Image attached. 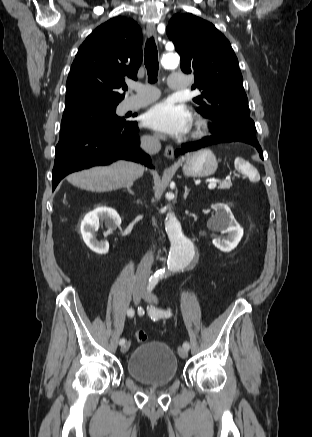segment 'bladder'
I'll return each mask as SVG.
<instances>
[{
  "mask_svg": "<svg viewBox=\"0 0 312 437\" xmlns=\"http://www.w3.org/2000/svg\"><path fill=\"white\" fill-rule=\"evenodd\" d=\"M174 351L164 342L149 341L138 345L127 360V373L149 385H167L178 375Z\"/></svg>",
  "mask_w": 312,
  "mask_h": 437,
  "instance_id": "31cf9c89",
  "label": "bladder"
}]
</instances>
